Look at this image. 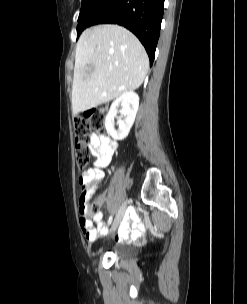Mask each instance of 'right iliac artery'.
Returning a JSON list of instances; mask_svg holds the SVG:
<instances>
[{"label":"right iliac artery","mask_w":247,"mask_h":304,"mask_svg":"<svg viewBox=\"0 0 247 304\" xmlns=\"http://www.w3.org/2000/svg\"><path fill=\"white\" fill-rule=\"evenodd\" d=\"M112 220H113V216L111 215L108 219V225H110L112 223Z\"/></svg>","instance_id":"1"}]
</instances>
